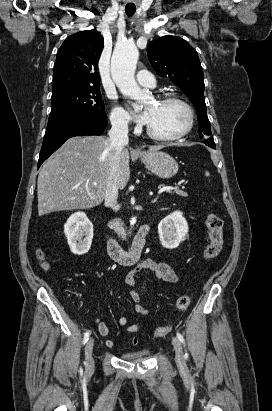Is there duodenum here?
<instances>
[{"instance_id": "410a0bca", "label": "duodenum", "mask_w": 272, "mask_h": 411, "mask_svg": "<svg viewBox=\"0 0 272 411\" xmlns=\"http://www.w3.org/2000/svg\"><path fill=\"white\" fill-rule=\"evenodd\" d=\"M149 232L150 227L146 224L143 225L137 232L129 250L122 249L116 239L110 237L109 235H105L104 239L110 257L121 265H130L135 263L146 246V238Z\"/></svg>"}]
</instances>
